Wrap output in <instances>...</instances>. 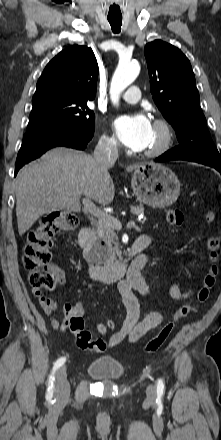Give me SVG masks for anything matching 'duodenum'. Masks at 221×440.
<instances>
[{
  "mask_svg": "<svg viewBox=\"0 0 221 440\" xmlns=\"http://www.w3.org/2000/svg\"><path fill=\"white\" fill-rule=\"evenodd\" d=\"M91 236V228L89 226H85L81 228L79 232V240L81 243H86ZM147 247V242L141 239H137L134 244L129 248L127 256L125 259L120 261H115L111 263H98V259H95V263H93L89 268V275L93 280L97 281H106L112 282L119 280L124 276L128 269V262L133 260L132 265L129 268V271L132 267H135L137 272H141V270L146 266L147 259L142 258L136 261L139 254ZM138 256V257H137Z\"/></svg>",
  "mask_w": 221,
  "mask_h": 440,
  "instance_id": "410a0bca",
  "label": "duodenum"
}]
</instances>
